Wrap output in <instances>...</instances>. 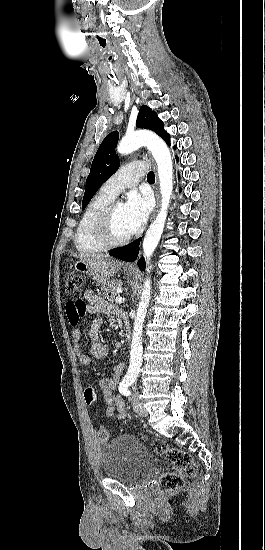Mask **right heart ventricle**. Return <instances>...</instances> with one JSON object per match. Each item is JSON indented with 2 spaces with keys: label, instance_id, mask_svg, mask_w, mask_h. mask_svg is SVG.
I'll use <instances>...</instances> for the list:
<instances>
[{
  "label": "right heart ventricle",
  "instance_id": "right-heart-ventricle-1",
  "mask_svg": "<svg viewBox=\"0 0 265 550\" xmlns=\"http://www.w3.org/2000/svg\"><path fill=\"white\" fill-rule=\"evenodd\" d=\"M100 189L88 202L77 225L74 243L80 252H101L107 249L94 233V222L99 213L113 201Z\"/></svg>",
  "mask_w": 265,
  "mask_h": 550
}]
</instances>
